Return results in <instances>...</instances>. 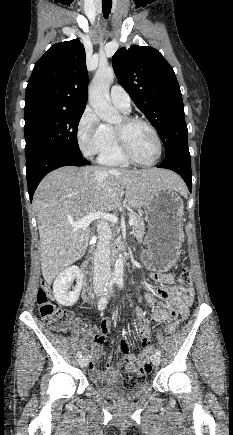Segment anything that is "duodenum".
<instances>
[{
    "instance_id": "duodenum-1",
    "label": "duodenum",
    "mask_w": 233,
    "mask_h": 435,
    "mask_svg": "<svg viewBox=\"0 0 233 435\" xmlns=\"http://www.w3.org/2000/svg\"><path fill=\"white\" fill-rule=\"evenodd\" d=\"M84 269H85V271L89 274V275H91V273H92V269H91V265L90 264H85L84 265ZM86 300L89 302L90 301V299L88 298V297H86Z\"/></svg>"
}]
</instances>
